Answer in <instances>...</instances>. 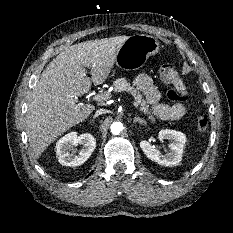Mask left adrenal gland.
Returning a JSON list of instances; mask_svg holds the SVG:
<instances>
[{
  "label": "left adrenal gland",
  "instance_id": "obj_1",
  "mask_svg": "<svg viewBox=\"0 0 233 233\" xmlns=\"http://www.w3.org/2000/svg\"><path fill=\"white\" fill-rule=\"evenodd\" d=\"M139 123V124H141V125H144V124H146V122L143 120V119H141V118H135L134 120H133V123Z\"/></svg>",
  "mask_w": 233,
  "mask_h": 233
}]
</instances>
